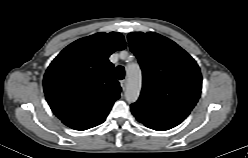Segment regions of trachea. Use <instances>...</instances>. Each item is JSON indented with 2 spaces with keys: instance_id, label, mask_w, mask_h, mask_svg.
Here are the masks:
<instances>
[{
  "instance_id": "trachea-1",
  "label": "trachea",
  "mask_w": 248,
  "mask_h": 158,
  "mask_svg": "<svg viewBox=\"0 0 248 158\" xmlns=\"http://www.w3.org/2000/svg\"><path fill=\"white\" fill-rule=\"evenodd\" d=\"M116 76L119 80H122L124 79L125 77V70H124V67L123 66H118L116 68Z\"/></svg>"
}]
</instances>
